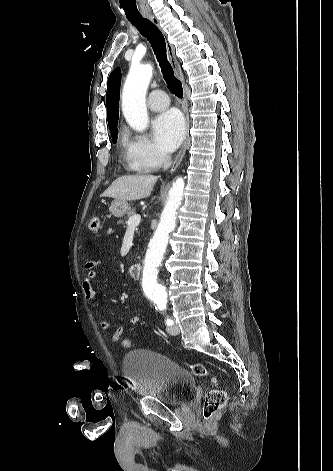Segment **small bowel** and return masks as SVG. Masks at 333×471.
Segmentation results:
<instances>
[{
	"label": "small bowel",
	"instance_id": "small-bowel-1",
	"mask_svg": "<svg viewBox=\"0 0 333 471\" xmlns=\"http://www.w3.org/2000/svg\"><path fill=\"white\" fill-rule=\"evenodd\" d=\"M101 261L99 259H90L87 261L86 266H85V274L82 277L81 280V285L83 292L86 296V298L92 303L96 304L97 303V290L94 286V280L96 276V269L100 266ZM140 322V317L139 316H133L130 319V323L132 325H137ZM100 328L103 331H108L111 329V324L109 321L105 318H102L100 320ZM124 333V327L119 326L117 327L111 334V340L113 342H119L122 338V335Z\"/></svg>",
	"mask_w": 333,
	"mask_h": 471
}]
</instances>
